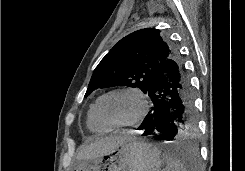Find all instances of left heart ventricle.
I'll use <instances>...</instances> for the list:
<instances>
[{
  "label": "left heart ventricle",
  "instance_id": "left-heart-ventricle-1",
  "mask_svg": "<svg viewBox=\"0 0 245 171\" xmlns=\"http://www.w3.org/2000/svg\"><path fill=\"white\" fill-rule=\"evenodd\" d=\"M139 109L137 98L128 93H118L106 97L101 104L103 117L111 123H122L134 117Z\"/></svg>",
  "mask_w": 245,
  "mask_h": 171
}]
</instances>
